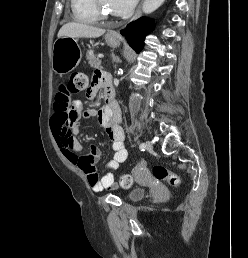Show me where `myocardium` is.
Instances as JSON below:
<instances>
[{
    "instance_id": "1",
    "label": "myocardium",
    "mask_w": 248,
    "mask_h": 258,
    "mask_svg": "<svg viewBox=\"0 0 248 258\" xmlns=\"http://www.w3.org/2000/svg\"><path fill=\"white\" fill-rule=\"evenodd\" d=\"M94 7L98 19L108 20L111 18L106 8L103 6L102 0H94Z\"/></svg>"
}]
</instances>
